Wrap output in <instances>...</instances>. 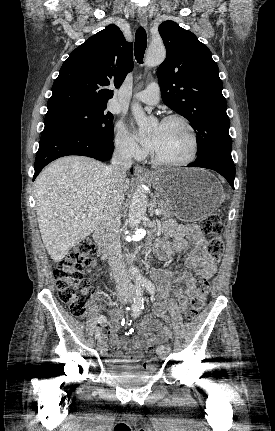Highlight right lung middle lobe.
<instances>
[{"label":"right lung middle lobe","instance_id":"obj_1","mask_svg":"<svg viewBox=\"0 0 275 431\" xmlns=\"http://www.w3.org/2000/svg\"><path fill=\"white\" fill-rule=\"evenodd\" d=\"M112 121L106 105L72 107L47 112L44 131L68 129L113 140Z\"/></svg>","mask_w":275,"mask_h":431}]
</instances>
